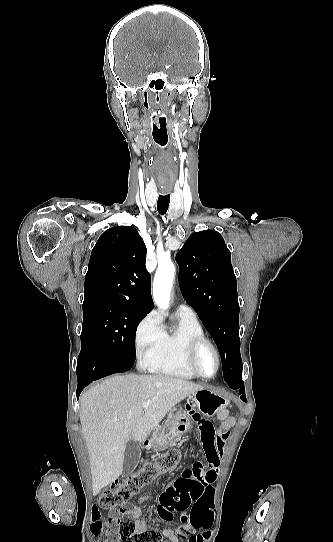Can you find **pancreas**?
<instances>
[{"label": "pancreas", "mask_w": 333, "mask_h": 542, "mask_svg": "<svg viewBox=\"0 0 333 542\" xmlns=\"http://www.w3.org/2000/svg\"><path fill=\"white\" fill-rule=\"evenodd\" d=\"M174 412H176V414H174ZM180 418H182L180 410H178V412L177 410H171L167 416L166 422H177V420H180Z\"/></svg>", "instance_id": "pancreas-1"}]
</instances>
